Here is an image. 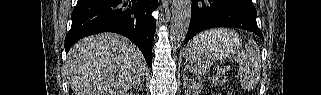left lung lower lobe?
<instances>
[{"mask_svg": "<svg viewBox=\"0 0 321 95\" xmlns=\"http://www.w3.org/2000/svg\"><path fill=\"white\" fill-rule=\"evenodd\" d=\"M251 0H192L191 21L184 44L197 33L213 27H234L263 39Z\"/></svg>", "mask_w": 321, "mask_h": 95, "instance_id": "left-lung-lower-lobe-1", "label": "left lung lower lobe"}]
</instances>
